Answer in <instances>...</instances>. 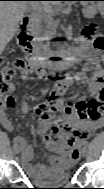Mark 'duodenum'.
I'll list each match as a JSON object with an SVG mask.
<instances>
[{
    "label": "duodenum",
    "mask_w": 104,
    "mask_h": 189,
    "mask_svg": "<svg viewBox=\"0 0 104 189\" xmlns=\"http://www.w3.org/2000/svg\"><path fill=\"white\" fill-rule=\"evenodd\" d=\"M34 19L26 18L23 21L22 31L18 36L20 49L29 57L30 67L37 73H41L43 62L36 56L35 35L33 32Z\"/></svg>",
    "instance_id": "obj_1"
}]
</instances>
